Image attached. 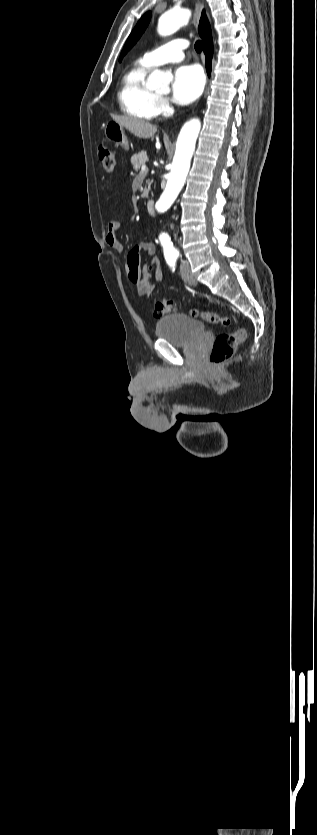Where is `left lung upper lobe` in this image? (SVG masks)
Instances as JSON below:
<instances>
[{"instance_id":"obj_1","label":"left lung upper lobe","mask_w":317,"mask_h":835,"mask_svg":"<svg viewBox=\"0 0 317 835\" xmlns=\"http://www.w3.org/2000/svg\"><path fill=\"white\" fill-rule=\"evenodd\" d=\"M151 18V13L147 12L144 14L141 19L138 21L137 25L131 32L130 36L128 37L125 46L121 52L119 61L122 60L123 56L133 47V45L138 41L141 37L143 32L145 31L146 27L148 26Z\"/></svg>"}]
</instances>
